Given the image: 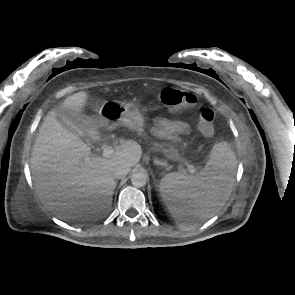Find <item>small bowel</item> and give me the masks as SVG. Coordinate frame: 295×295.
Wrapping results in <instances>:
<instances>
[{
	"mask_svg": "<svg viewBox=\"0 0 295 295\" xmlns=\"http://www.w3.org/2000/svg\"><path fill=\"white\" fill-rule=\"evenodd\" d=\"M157 126L159 132L169 138H174L179 134H184L189 129L185 122L168 119L159 120Z\"/></svg>",
	"mask_w": 295,
	"mask_h": 295,
	"instance_id": "obj_1",
	"label": "small bowel"
}]
</instances>
